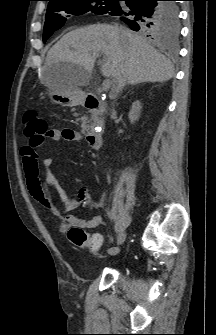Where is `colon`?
I'll list each match as a JSON object with an SVG mask.
<instances>
[{
	"label": "colon",
	"instance_id": "5ec220e1",
	"mask_svg": "<svg viewBox=\"0 0 216 335\" xmlns=\"http://www.w3.org/2000/svg\"><path fill=\"white\" fill-rule=\"evenodd\" d=\"M24 134L29 139V146L32 149L38 148L44 142L48 132V122L36 111H27L23 118ZM69 241L79 248H89L96 251L102 244L100 237L90 236L80 227H72L68 231Z\"/></svg>",
	"mask_w": 216,
	"mask_h": 335
}]
</instances>
